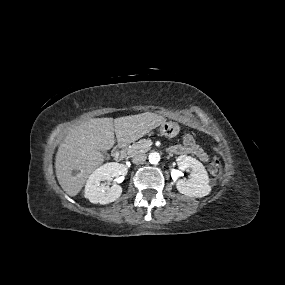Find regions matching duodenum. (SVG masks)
Wrapping results in <instances>:
<instances>
[{
  "mask_svg": "<svg viewBox=\"0 0 285 285\" xmlns=\"http://www.w3.org/2000/svg\"><path fill=\"white\" fill-rule=\"evenodd\" d=\"M126 156V147L123 144H119L113 150V158L116 161H121Z\"/></svg>",
  "mask_w": 285,
  "mask_h": 285,
  "instance_id": "1",
  "label": "duodenum"
}]
</instances>
